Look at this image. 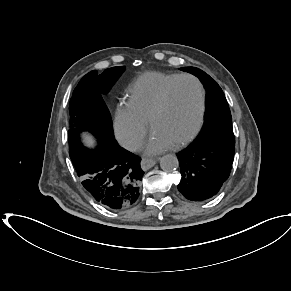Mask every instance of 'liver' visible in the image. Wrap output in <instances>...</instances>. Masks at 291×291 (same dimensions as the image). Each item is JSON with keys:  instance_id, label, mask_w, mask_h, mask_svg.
<instances>
[{"instance_id": "liver-1", "label": "liver", "mask_w": 291, "mask_h": 291, "mask_svg": "<svg viewBox=\"0 0 291 291\" xmlns=\"http://www.w3.org/2000/svg\"><path fill=\"white\" fill-rule=\"evenodd\" d=\"M84 140L89 146L93 145V143H94L92 138L88 135H85Z\"/></svg>"}]
</instances>
